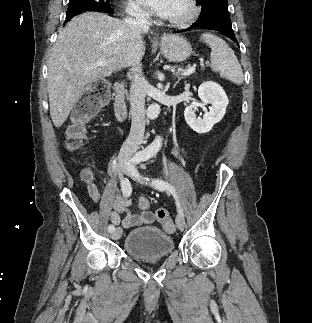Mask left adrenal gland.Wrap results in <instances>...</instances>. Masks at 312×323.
I'll list each match as a JSON object with an SVG mask.
<instances>
[{
    "mask_svg": "<svg viewBox=\"0 0 312 323\" xmlns=\"http://www.w3.org/2000/svg\"><path fill=\"white\" fill-rule=\"evenodd\" d=\"M183 76L181 78H177V82H175L173 88H176L177 84H179L180 80H182Z\"/></svg>",
    "mask_w": 312,
    "mask_h": 323,
    "instance_id": "1",
    "label": "left adrenal gland"
}]
</instances>
